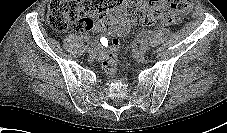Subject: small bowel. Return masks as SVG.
I'll use <instances>...</instances> for the list:
<instances>
[{
	"label": "small bowel",
	"mask_w": 227,
	"mask_h": 133,
	"mask_svg": "<svg viewBox=\"0 0 227 133\" xmlns=\"http://www.w3.org/2000/svg\"><path fill=\"white\" fill-rule=\"evenodd\" d=\"M133 2H138L140 5L145 7L144 0H121L114 12L108 17L99 19L95 23L94 28L103 31L107 36L127 35L131 29L132 23V18L129 13V5ZM161 22L164 25H171L177 22V18L167 14L161 19ZM82 37L85 40H91L92 34L87 30L83 32ZM99 58H104L102 53H100Z\"/></svg>",
	"instance_id": "c3829d8e"
}]
</instances>
